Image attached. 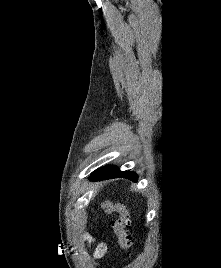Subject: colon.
Wrapping results in <instances>:
<instances>
[{"mask_svg":"<svg viewBox=\"0 0 221 268\" xmlns=\"http://www.w3.org/2000/svg\"><path fill=\"white\" fill-rule=\"evenodd\" d=\"M100 207L106 213H117L118 217L113 222L115 233L119 239L120 246L126 255H130L133 247L132 237L128 231L130 226V213L128 209L120 204L110 201H103L100 203Z\"/></svg>","mask_w":221,"mask_h":268,"instance_id":"colon-1","label":"colon"}]
</instances>
